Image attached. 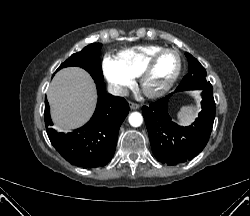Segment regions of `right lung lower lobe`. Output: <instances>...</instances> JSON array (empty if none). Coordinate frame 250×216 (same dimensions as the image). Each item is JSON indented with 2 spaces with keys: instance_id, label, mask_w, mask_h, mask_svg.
<instances>
[{
  "instance_id": "98d812e1",
  "label": "right lung lower lobe",
  "mask_w": 250,
  "mask_h": 216,
  "mask_svg": "<svg viewBox=\"0 0 250 216\" xmlns=\"http://www.w3.org/2000/svg\"><path fill=\"white\" fill-rule=\"evenodd\" d=\"M98 102L91 120L72 133H58L50 128L49 104L45 100V126L54 148L68 162L83 168L106 165L113 157L119 128L129 112V105L122 97L106 94L103 81H96Z\"/></svg>"
}]
</instances>
